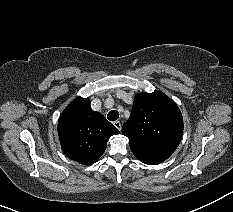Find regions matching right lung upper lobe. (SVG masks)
<instances>
[{
  "label": "right lung upper lobe",
  "instance_id": "cb5924a9",
  "mask_svg": "<svg viewBox=\"0 0 233 212\" xmlns=\"http://www.w3.org/2000/svg\"><path fill=\"white\" fill-rule=\"evenodd\" d=\"M118 133V129L101 113L91 109L88 98L77 97L58 120L63 152L85 165L96 162L104 153L109 138Z\"/></svg>",
  "mask_w": 233,
  "mask_h": 212
}]
</instances>
